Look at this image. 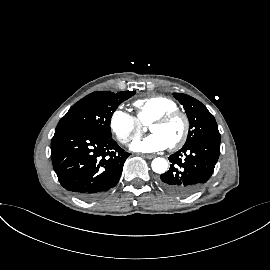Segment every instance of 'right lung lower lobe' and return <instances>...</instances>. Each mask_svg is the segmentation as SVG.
Returning <instances> with one entry per match:
<instances>
[{
    "mask_svg": "<svg viewBox=\"0 0 270 270\" xmlns=\"http://www.w3.org/2000/svg\"><path fill=\"white\" fill-rule=\"evenodd\" d=\"M129 155L112 138L83 128L56 129L51 141L53 168L60 184L85 200L116 186Z\"/></svg>",
    "mask_w": 270,
    "mask_h": 270,
    "instance_id": "1",
    "label": "right lung lower lobe"
}]
</instances>
